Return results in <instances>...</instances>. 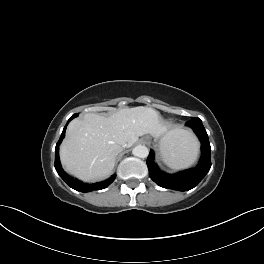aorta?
I'll use <instances>...</instances> for the list:
<instances>
[{
	"label": "aorta",
	"instance_id": "aorta-1",
	"mask_svg": "<svg viewBox=\"0 0 264 264\" xmlns=\"http://www.w3.org/2000/svg\"><path fill=\"white\" fill-rule=\"evenodd\" d=\"M133 155L139 158H146L149 154V150L146 146L144 145H138L133 148L132 151Z\"/></svg>",
	"mask_w": 264,
	"mask_h": 264
}]
</instances>
